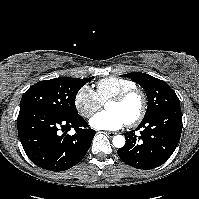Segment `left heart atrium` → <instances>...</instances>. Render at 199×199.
Listing matches in <instances>:
<instances>
[{"instance_id":"obj_1","label":"left heart atrium","mask_w":199,"mask_h":199,"mask_svg":"<svg viewBox=\"0 0 199 199\" xmlns=\"http://www.w3.org/2000/svg\"><path fill=\"white\" fill-rule=\"evenodd\" d=\"M127 121L117 112H101L90 120V125L97 130H118Z\"/></svg>"}]
</instances>
